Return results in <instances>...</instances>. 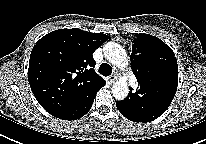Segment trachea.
Segmentation results:
<instances>
[{
  "label": "trachea",
  "mask_w": 206,
  "mask_h": 144,
  "mask_svg": "<svg viewBox=\"0 0 206 144\" xmlns=\"http://www.w3.org/2000/svg\"><path fill=\"white\" fill-rule=\"evenodd\" d=\"M99 73L103 76H109L112 73V67L107 63H102L99 67Z\"/></svg>",
  "instance_id": "obj_1"
}]
</instances>
